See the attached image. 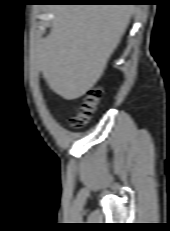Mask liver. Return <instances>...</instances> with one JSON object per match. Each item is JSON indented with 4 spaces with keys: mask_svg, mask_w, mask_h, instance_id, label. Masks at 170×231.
<instances>
[{
    "mask_svg": "<svg viewBox=\"0 0 170 231\" xmlns=\"http://www.w3.org/2000/svg\"><path fill=\"white\" fill-rule=\"evenodd\" d=\"M50 33L35 47L34 61L56 94L83 96L102 76L135 7L57 5Z\"/></svg>",
    "mask_w": 170,
    "mask_h": 231,
    "instance_id": "obj_1",
    "label": "liver"
}]
</instances>
